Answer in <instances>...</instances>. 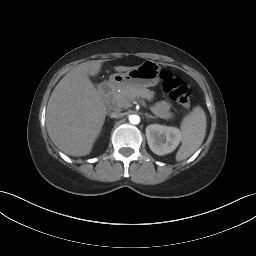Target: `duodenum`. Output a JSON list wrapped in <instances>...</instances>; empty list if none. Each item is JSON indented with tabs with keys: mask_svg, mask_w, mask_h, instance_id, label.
<instances>
[{
	"mask_svg": "<svg viewBox=\"0 0 256 256\" xmlns=\"http://www.w3.org/2000/svg\"><path fill=\"white\" fill-rule=\"evenodd\" d=\"M113 89H114V84L113 83L105 82V83L100 85L99 94H100L101 97L107 98V97H109V95L111 94Z\"/></svg>",
	"mask_w": 256,
	"mask_h": 256,
	"instance_id": "duodenum-1",
	"label": "duodenum"
}]
</instances>
